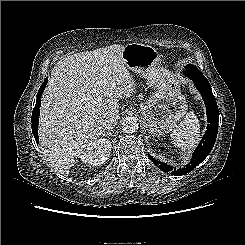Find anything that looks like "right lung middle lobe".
Here are the masks:
<instances>
[{"label":"right lung middle lobe","instance_id":"obj_1","mask_svg":"<svg viewBox=\"0 0 245 245\" xmlns=\"http://www.w3.org/2000/svg\"><path fill=\"white\" fill-rule=\"evenodd\" d=\"M46 81H47V79L43 82V84H46V83H47ZM43 84H42V85H43ZM42 85H41V86H42Z\"/></svg>","mask_w":245,"mask_h":245}]
</instances>
